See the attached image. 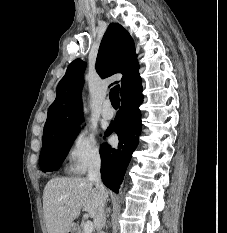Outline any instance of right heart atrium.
Listing matches in <instances>:
<instances>
[{
    "label": "right heart atrium",
    "mask_w": 227,
    "mask_h": 233,
    "mask_svg": "<svg viewBox=\"0 0 227 233\" xmlns=\"http://www.w3.org/2000/svg\"><path fill=\"white\" fill-rule=\"evenodd\" d=\"M101 148L95 131L88 127L79 128L73 135L67 152V169L73 174H83L100 164Z\"/></svg>",
    "instance_id": "right-heart-atrium-1"
}]
</instances>
